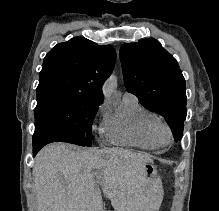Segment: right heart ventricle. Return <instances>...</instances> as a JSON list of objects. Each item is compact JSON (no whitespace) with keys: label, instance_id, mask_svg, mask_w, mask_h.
I'll return each mask as SVG.
<instances>
[{"label":"right heart ventricle","instance_id":"right-heart-ventricle-1","mask_svg":"<svg viewBox=\"0 0 219 211\" xmlns=\"http://www.w3.org/2000/svg\"><path fill=\"white\" fill-rule=\"evenodd\" d=\"M159 120L156 114L143 107L136 98H123L106 118L103 130L114 144L153 150L160 146L153 132V125Z\"/></svg>","mask_w":219,"mask_h":211}]
</instances>
